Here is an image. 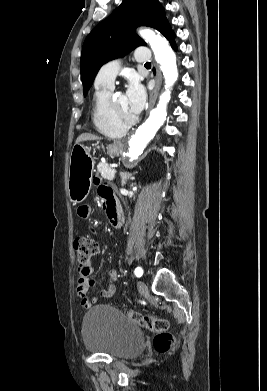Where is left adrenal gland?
<instances>
[{
    "label": "left adrenal gland",
    "instance_id": "left-adrenal-gland-1",
    "mask_svg": "<svg viewBox=\"0 0 267 391\" xmlns=\"http://www.w3.org/2000/svg\"><path fill=\"white\" fill-rule=\"evenodd\" d=\"M120 176H121V185L125 186V184L127 183V180L132 177V174L127 173V172H121Z\"/></svg>",
    "mask_w": 267,
    "mask_h": 391
}]
</instances>
